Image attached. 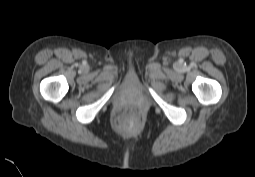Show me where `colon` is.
Masks as SVG:
<instances>
[{
	"mask_svg": "<svg viewBox=\"0 0 255 177\" xmlns=\"http://www.w3.org/2000/svg\"><path fill=\"white\" fill-rule=\"evenodd\" d=\"M138 118V114L136 112V110L134 109H127L123 116L119 119V122H121L122 120L128 121V122H134L136 121Z\"/></svg>",
	"mask_w": 255,
	"mask_h": 177,
	"instance_id": "obj_1",
	"label": "colon"
}]
</instances>
